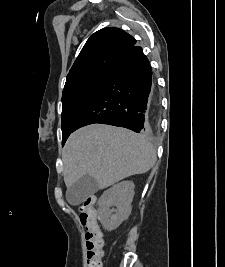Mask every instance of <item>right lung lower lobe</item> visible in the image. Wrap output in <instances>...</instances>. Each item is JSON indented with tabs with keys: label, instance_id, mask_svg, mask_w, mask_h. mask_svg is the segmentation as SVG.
<instances>
[{
	"label": "right lung lower lobe",
	"instance_id": "1",
	"mask_svg": "<svg viewBox=\"0 0 225 267\" xmlns=\"http://www.w3.org/2000/svg\"><path fill=\"white\" fill-rule=\"evenodd\" d=\"M153 90L152 68L140 46L124 51L78 116L73 131L102 123L135 132L147 129V107Z\"/></svg>",
	"mask_w": 225,
	"mask_h": 267
}]
</instances>
